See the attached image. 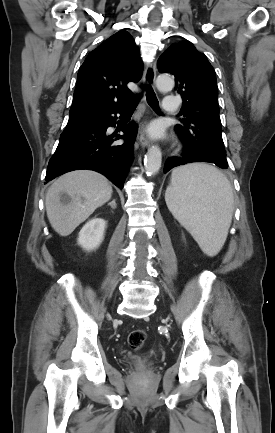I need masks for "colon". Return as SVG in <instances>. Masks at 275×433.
<instances>
[{"instance_id":"colon-1","label":"colon","mask_w":275,"mask_h":433,"mask_svg":"<svg viewBox=\"0 0 275 433\" xmlns=\"http://www.w3.org/2000/svg\"><path fill=\"white\" fill-rule=\"evenodd\" d=\"M146 340V332L142 329L132 331L128 336V345L132 350H140Z\"/></svg>"}]
</instances>
